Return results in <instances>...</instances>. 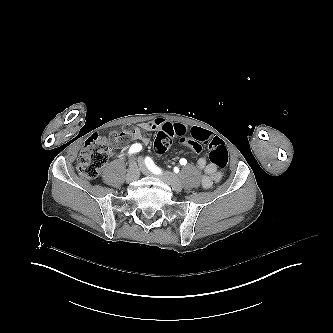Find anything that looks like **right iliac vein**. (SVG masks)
<instances>
[{
  "instance_id": "1",
  "label": "right iliac vein",
  "mask_w": 333,
  "mask_h": 333,
  "mask_svg": "<svg viewBox=\"0 0 333 333\" xmlns=\"http://www.w3.org/2000/svg\"><path fill=\"white\" fill-rule=\"evenodd\" d=\"M138 178V172L136 170L135 163L132 161L131 168L127 177V182L131 183Z\"/></svg>"
}]
</instances>
